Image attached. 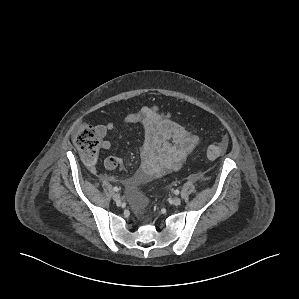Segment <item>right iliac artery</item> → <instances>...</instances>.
Segmentation results:
<instances>
[{
    "label": "right iliac artery",
    "mask_w": 299,
    "mask_h": 299,
    "mask_svg": "<svg viewBox=\"0 0 299 299\" xmlns=\"http://www.w3.org/2000/svg\"><path fill=\"white\" fill-rule=\"evenodd\" d=\"M113 190L117 192V191H119V188L118 187H114Z\"/></svg>",
    "instance_id": "right-iliac-artery-1"
}]
</instances>
